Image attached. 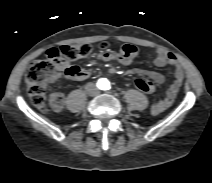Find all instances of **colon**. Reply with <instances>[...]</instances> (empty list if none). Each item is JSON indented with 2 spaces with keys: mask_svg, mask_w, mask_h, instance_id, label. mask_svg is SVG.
Segmentation results:
<instances>
[{
  "mask_svg": "<svg viewBox=\"0 0 212 183\" xmlns=\"http://www.w3.org/2000/svg\"><path fill=\"white\" fill-rule=\"evenodd\" d=\"M109 45L102 42L98 49L106 50ZM95 50L91 44L64 45L52 48L47 52V58L33 62L25 75L27 93L31 102L41 111L46 108L47 86L54 80L58 66L67 61H74L90 56ZM75 70L69 69L65 72L67 77L74 75ZM134 86L143 93L152 94L154 85L147 79H135Z\"/></svg>",
  "mask_w": 212,
  "mask_h": 183,
  "instance_id": "5ec220e1",
  "label": "colon"
}]
</instances>
